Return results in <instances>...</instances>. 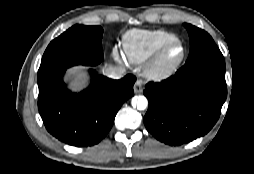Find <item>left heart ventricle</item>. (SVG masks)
I'll list each match as a JSON object with an SVG mask.
<instances>
[{
	"label": "left heart ventricle",
	"instance_id": "1",
	"mask_svg": "<svg viewBox=\"0 0 254 174\" xmlns=\"http://www.w3.org/2000/svg\"><path fill=\"white\" fill-rule=\"evenodd\" d=\"M182 49L179 45L173 46L165 55L164 62L170 64L176 61L181 55Z\"/></svg>",
	"mask_w": 254,
	"mask_h": 174
}]
</instances>
